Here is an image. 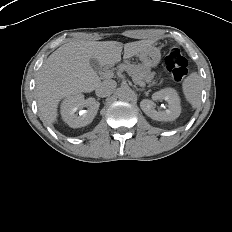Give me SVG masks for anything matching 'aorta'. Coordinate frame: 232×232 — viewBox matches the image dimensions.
Wrapping results in <instances>:
<instances>
[{
  "label": "aorta",
  "mask_w": 232,
  "mask_h": 232,
  "mask_svg": "<svg viewBox=\"0 0 232 232\" xmlns=\"http://www.w3.org/2000/svg\"><path fill=\"white\" fill-rule=\"evenodd\" d=\"M134 96V92L128 86L121 87L118 91V97L124 101H130Z\"/></svg>",
  "instance_id": "762f6f07"
}]
</instances>
